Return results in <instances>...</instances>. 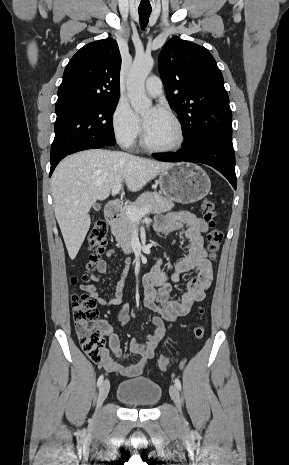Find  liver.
Returning a JSON list of instances; mask_svg holds the SVG:
<instances>
[{"label": "liver", "instance_id": "obj_1", "mask_svg": "<svg viewBox=\"0 0 289 465\" xmlns=\"http://www.w3.org/2000/svg\"><path fill=\"white\" fill-rule=\"evenodd\" d=\"M173 164L140 158L125 152L85 150L63 159L52 175L54 212L69 257L77 256L89 231L90 208L109 197L125 182L137 192Z\"/></svg>", "mask_w": 289, "mask_h": 465}]
</instances>
